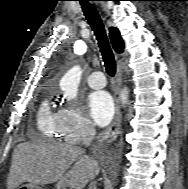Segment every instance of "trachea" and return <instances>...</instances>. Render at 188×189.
I'll list each match as a JSON object with an SVG mask.
<instances>
[{
  "label": "trachea",
  "instance_id": "3493384b",
  "mask_svg": "<svg viewBox=\"0 0 188 189\" xmlns=\"http://www.w3.org/2000/svg\"><path fill=\"white\" fill-rule=\"evenodd\" d=\"M79 1L86 16V19L88 20L98 40L106 72L108 73V75L113 77L116 72V62L110 44L108 42V38L102 20L96 8L88 2L89 0Z\"/></svg>",
  "mask_w": 188,
  "mask_h": 189
}]
</instances>
